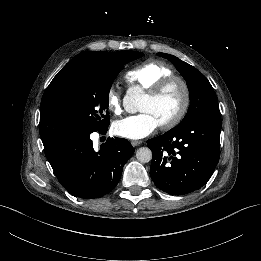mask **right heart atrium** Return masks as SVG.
<instances>
[{
  "label": "right heart atrium",
  "mask_w": 261,
  "mask_h": 261,
  "mask_svg": "<svg viewBox=\"0 0 261 261\" xmlns=\"http://www.w3.org/2000/svg\"><path fill=\"white\" fill-rule=\"evenodd\" d=\"M106 104L109 110L115 114L120 115L123 112V101L120 93L115 89H109L106 96Z\"/></svg>",
  "instance_id": "d8ad5b80"
}]
</instances>
